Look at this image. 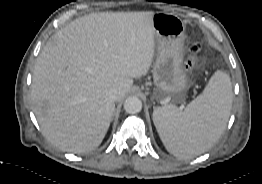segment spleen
Wrapping results in <instances>:
<instances>
[{
	"instance_id": "spleen-1",
	"label": "spleen",
	"mask_w": 262,
	"mask_h": 184,
	"mask_svg": "<svg viewBox=\"0 0 262 184\" xmlns=\"http://www.w3.org/2000/svg\"><path fill=\"white\" fill-rule=\"evenodd\" d=\"M232 101L230 77L217 70L184 110L172 104L156 108L153 122L167 151L191 159L211 148L226 127Z\"/></svg>"
}]
</instances>
